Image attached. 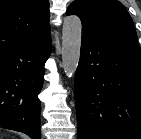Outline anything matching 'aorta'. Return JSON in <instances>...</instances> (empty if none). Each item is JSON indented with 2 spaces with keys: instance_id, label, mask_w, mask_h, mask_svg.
<instances>
[{
  "instance_id": "aorta-1",
  "label": "aorta",
  "mask_w": 141,
  "mask_h": 139,
  "mask_svg": "<svg viewBox=\"0 0 141 139\" xmlns=\"http://www.w3.org/2000/svg\"><path fill=\"white\" fill-rule=\"evenodd\" d=\"M82 24L78 16L64 19L62 30V66L68 76L75 74L81 51Z\"/></svg>"
}]
</instances>
